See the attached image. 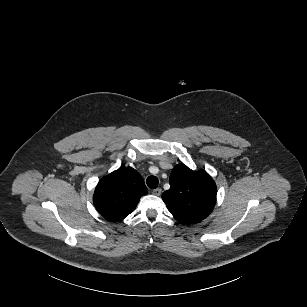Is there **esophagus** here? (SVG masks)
Masks as SVG:
<instances>
[{
    "label": "esophagus",
    "mask_w": 307,
    "mask_h": 307,
    "mask_svg": "<svg viewBox=\"0 0 307 307\" xmlns=\"http://www.w3.org/2000/svg\"><path fill=\"white\" fill-rule=\"evenodd\" d=\"M152 194L155 195V196H160L161 195V189L160 188L154 189L152 191Z\"/></svg>",
    "instance_id": "esophagus-1"
}]
</instances>
